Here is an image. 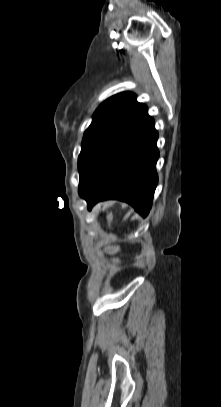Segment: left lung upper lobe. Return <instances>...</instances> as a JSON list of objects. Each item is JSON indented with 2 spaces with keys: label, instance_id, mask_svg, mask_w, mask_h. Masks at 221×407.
Listing matches in <instances>:
<instances>
[{
  "label": "left lung upper lobe",
  "instance_id": "1",
  "mask_svg": "<svg viewBox=\"0 0 221 407\" xmlns=\"http://www.w3.org/2000/svg\"><path fill=\"white\" fill-rule=\"evenodd\" d=\"M143 107L136 95L123 92L104 101L95 111L91 125L84 133L78 157L79 189L110 145L130 124Z\"/></svg>",
  "mask_w": 221,
  "mask_h": 407
}]
</instances>
